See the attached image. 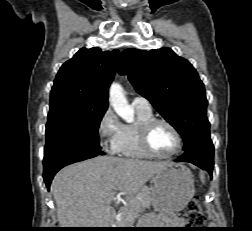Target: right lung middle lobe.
Wrapping results in <instances>:
<instances>
[{
  "mask_svg": "<svg viewBox=\"0 0 252 231\" xmlns=\"http://www.w3.org/2000/svg\"><path fill=\"white\" fill-rule=\"evenodd\" d=\"M107 107L82 105L68 100L50 101L45 154L64 147L101 149L98 128Z\"/></svg>",
  "mask_w": 252,
  "mask_h": 231,
  "instance_id": "1",
  "label": "right lung middle lobe"
}]
</instances>
